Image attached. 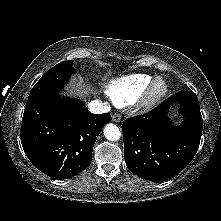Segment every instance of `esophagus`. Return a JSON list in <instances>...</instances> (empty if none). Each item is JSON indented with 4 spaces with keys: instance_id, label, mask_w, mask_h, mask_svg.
Returning a JSON list of instances; mask_svg holds the SVG:
<instances>
[{
    "instance_id": "esophagus-1",
    "label": "esophagus",
    "mask_w": 221,
    "mask_h": 221,
    "mask_svg": "<svg viewBox=\"0 0 221 221\" xmlns=\"http://www.w3.org/2000/svg\"><path fill=\"white\" fill-rule=\"evenodd\" d=\"M112 121L113 122H120L121 121V115L117 114V113L113 114L112 115Z\"/></svg>"
}]
</instances>
